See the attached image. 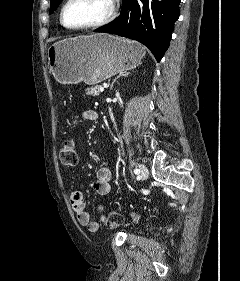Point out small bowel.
I'll list each match as a JSON object with an SVG mask.
<instances>
[{"label":"small bowel","instance_id":"1","mask_svg":"<svg viewBox=\"0 0 240 281\" xmlns=\"http://www.w3.org/2000/svg\"><path fill=\"white\" fill-rule=\"evenodd\" d=\"M83 118L86 121H95L98 114L95 110L89 109L83 113ZM113 174L109 167H102L98 170L94 188L97 194L107 195L111 191V180ZM71 207L77 217L78 222L86 226L90 232H96L99 225L91 219L90 213L86 210L83 193L79 190H73L69 196Z\"/></svg>","mask_w":240,"mask_h":281}]
</instances>
